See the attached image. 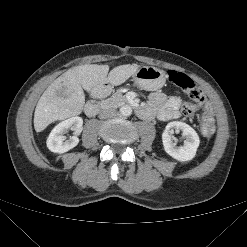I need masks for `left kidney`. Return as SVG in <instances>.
Masks as SVG:
<instances>
[{
	"instance_id": "1",
	"label": "left kidney",
	"mask_w": 247,
	"mask_h": 247,
	"mask_svg": "<svg viewBox=\"0 0 247 247\" xmlns=\"http://www.w3.org/2000/svg\"><path fill=\"white\" fill-rule=\"evenodd\" d=\"M174 131H182V135L185 138L183 145L177 146L173 142L171 135ZM162 141L165 152L181 162L193 159L200 143L196 131L188 124L180 121H173L167 124L162 134Z\"/></svg>"
}]
</instances>
